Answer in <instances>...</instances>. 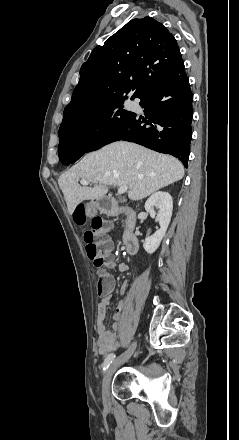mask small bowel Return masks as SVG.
<instances>
[{"mask_svg":"<svg viewBox=\"0 0 239 440\" xmlns=\"http://www.w3.org/2000/svg\"><path fill=\"white\" fill-rule=\"evenodd\" d=\"M121 272L128 271L130 266L127 263H120L118 266ZM128 286L127 282H124L121 290L124 291ZM114 288V281L112 277L109 278V288L103 294L98 307H97V346L100 354H111L119 346V335L118 331L120 328V321L122 312L124 310V303H119L117 306L116 313L113 315V325L112 330L106 328V310L110 303L112 292Z\"/></svg>","mask_w":239,"mask_h":440,"instance_id":"obj_1","label":"small bowel"}]
</instances>
